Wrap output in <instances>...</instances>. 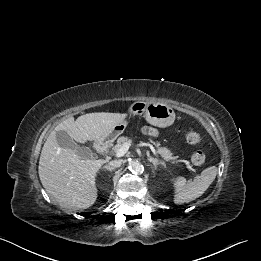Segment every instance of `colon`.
Returning <instances> with one entry per match:
<instances>
[{
  "mask_svg": "<svg viewBox=\"0 0 261 261\" xmlns=\"http://www.w3.org/2000/svg\"><path fill=\"white\" fill-rule=\"evenodd\" d=\"M185 141L189 145L196 146L201 143L202 137L196 128L190 126L186 130ZM191 160L194 165H202L206 161V154L203 151H196L192 154Z\"/></svg>",
  "mask_w": 261,
  "mask_h": 261,
  "instance_id": "1",
  "label": "colon"
}]
</instances>
